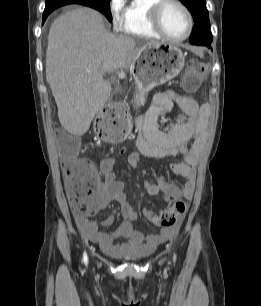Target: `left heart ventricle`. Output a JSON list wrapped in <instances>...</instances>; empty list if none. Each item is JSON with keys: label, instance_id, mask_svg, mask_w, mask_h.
Instances as JSON below:
<instances>
[{"label": "left heart ventricle", "instance_id": "obj_1", "mask_svg": "<svg viewBox=\"0 0 261 306\" xmlns=\"http://www.w3.org/2000/svg\"><path fill=\"white\" fill-rule=\"evenodd\" d=\"M160 20L166 33L174 38H180L187 32V18L184 12L174 4L164 7Z\"/></svg>", "mask_w": 261, "mask_h": 306}]
</instances>
